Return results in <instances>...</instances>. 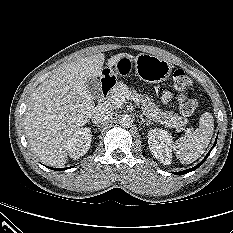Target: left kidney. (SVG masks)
I'll return each instance as SVG.
<instances>
[{
    "mask_svg": "<svg viewBox=\"0 0 233 233\" xmlns=\"http://www.w3.org/2000/svg\"><path fill=\"white\" fill-rule=\"evenodd\" d=\"M148 144L151 154L164 165L171 164L172 136L165 130L152 129L148 132Z\"/></svg>",
    "mask_w": 233,
    "mask_h": 233,
    "instance_id": "left-kidney-1",
    "label": "left kidney"
}]
</instances>
